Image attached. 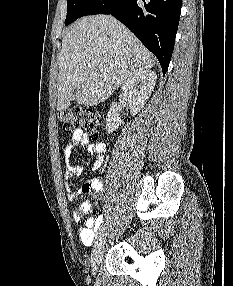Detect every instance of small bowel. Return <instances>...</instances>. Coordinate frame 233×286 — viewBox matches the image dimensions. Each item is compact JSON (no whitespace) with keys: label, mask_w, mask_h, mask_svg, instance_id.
Returning <instances> with one entry per match:
<instances>
[{"label":"small bowel","mask_w":233,"mask_h":286,"mask_svg":"<svg viewBox=\"0 0 233 286\" xmlns=\"http://www.w3.org/2000/svg\"><path fill=\"white\" fill-rule=\"evenodd\" d=\"M78 146L86 147L89 153L96 155V160L93 163L94 171H97L101 167L107 155V146L104 142L102 141L92 142L90 137L86 133H84L81 129H77L73 132L71 139L68 141V143L64 148V160L66 163L65 186L68 191L67 197L69 201H74L81 194L88 193L84 191L83 188L81 190L73 191L70 183V180L73 177L81 176L83 173L82 165L73 164L71 162L73 151ZM102 192L103 189L101 186V188L97 192H94L92 194L97 197H101ZM91 210H92V205L90 202L88 201L82 202L72 212V220L74 222H78L85 214L89 213ZM102 218H103L102 215H98L96 217L90 216L85 220L84 225L79 228L78 236L83 245L88 246L92 244L95 237V232L99 228L102 222Z\"/></svg>","instance_id":"c3829d8e"}]
</instances>
